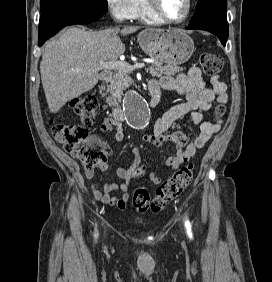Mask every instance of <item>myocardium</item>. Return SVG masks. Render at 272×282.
Wrapping results in <instances>:
<instances>
[{"label":"myocardium","mask_w":272,"mask_h":282,"mask_svg":"<svg viewBox=\"0 0 272 282\" xmlns=\"http://www.w3.org/2000/svg\"><path fill=\"white\" fill-rule=\"evenodd\" d=\"M146 8L148 11L153 14L155 17H157L159 20L165 23H173V24H179L184 22L189 18L192 12L193 3L192 0H186V12L185 14L180 18H170L168 17L164 11L161 9L158 0H147Z\"/></svg>","instance_id":"obj_1"}]
</instances>
